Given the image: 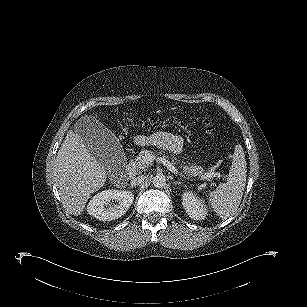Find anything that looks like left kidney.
<instances>
[{
  "label": "left kidney",
  "mask_w": 307,
  "mask_h": 307,
  "mask_svg": "<svg viewBox=\"0 0 307 307\" xmlns=\"http://www.w3.org/2000/svg\"><path fill=\"white\" fill-rule=\"evenodd\" d=\"M203 203L204 201L193 191H185L182 194V205L193 220H203L207 216L208 211Z\"/></svg>",
  "instance_id": "5707ae66"
}]
</instances>
